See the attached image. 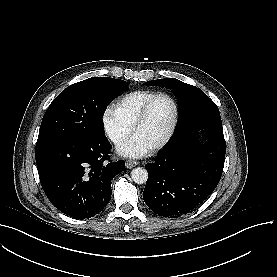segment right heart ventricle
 <instances>
[{
	"instance_id": "1",
	"label": "right heart ventricle",
	"mask_w": 277,
	"mask_h": 277,
	"mask_svg": "<svg viewBox=\"0 0 277 277\" xmlns=\"http://www.w3.org/2000/svg\"><path fill=\"white\" fill-rule=\"evenodd\" d=\"M154 96L149 91H136L126 95L116 105L118 117L127 125L132 123Z\"/></svg>"
}]
</instances>
